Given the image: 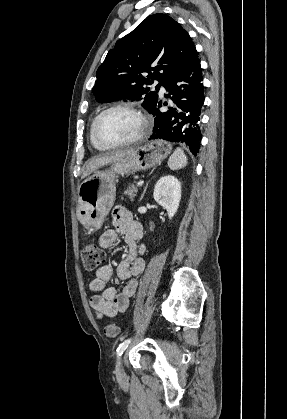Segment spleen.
<instances>
[{"label": "spleen", "mask_w": 287, "mask_h": 419, "mask_svg": "<svg viewBox=\"0 0 287 419\" xmlns=\"http://www.w3.org/2000/svg\"><path fill=\"white\" fill-rule=\"evenodd\" d=\"M187 156L181 148H176L168 160V167L171 170H179L187 165Z\"/></svg>", "instance_id": "obj_1"}]
</instances>
